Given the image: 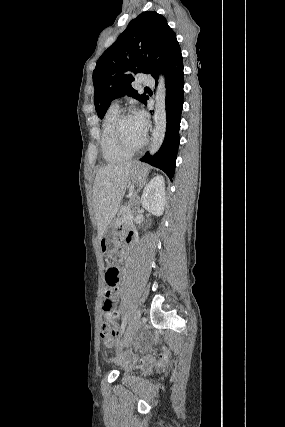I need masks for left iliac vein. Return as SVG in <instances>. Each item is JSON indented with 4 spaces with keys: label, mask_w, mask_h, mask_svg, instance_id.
<instances>
[{
    "label": "left iliac vein",
    "mask_w": 285,
    "mask_h": 427,
    "mask_svg": "<svg viewBox=\"0 0 285 427\" xmlns=\"http://www.w3.org/2000/svg\"><path fill=\"white\" fill-rule=\"evenodd\" d=\"M140 320H141V311L138 310L134 314L133 318L131 319V321L129 323V326L126 330L124 340L120 344V349L123 348L125 345H127L133 339V337L135 336V334L137 332V328H138V325L140 323Z\"/></svg>",
    "instance_id": "4c4485c4"
}]
</instances>
